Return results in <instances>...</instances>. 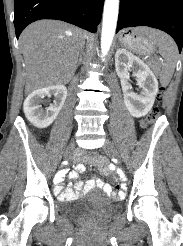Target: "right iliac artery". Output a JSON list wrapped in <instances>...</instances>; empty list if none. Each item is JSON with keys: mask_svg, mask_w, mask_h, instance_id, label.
Masks as SVG:
<instances>
[{"mask_svg": "<svg viewBox=\"0 0 183 246\" xmlns=\"http://www.w3.org/2000/svg\"><path fill=\"white\" fill-rule=\"evenodd\" d=\"M64 174H65L64 171H60L59 173H57V175L54 178V183L56 184L59 181V179L62 177V175Z\"/></svg>", "mask_w": 183, "mask_h": 246, "instance_id": "82829eb1", "label": "right iliac artery"}]
</instances>
